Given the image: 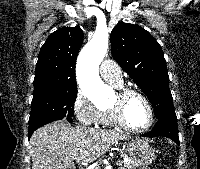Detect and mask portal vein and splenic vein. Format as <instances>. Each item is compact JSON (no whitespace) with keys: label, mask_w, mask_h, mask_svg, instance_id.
<instances>
[{"label":"portal vein and splenic vein","mask_w":200,"mask_h":169,"mask_svg":"<svg viewBox=\"0 0 200 169\" xmlns=\"http://www.w3.org/2000/svg\"><path fill=\"white\" fill-rule=\"evenodd\" d=\"M122 163L121 162H117V165H121Z\"/></svg>","instance_id":"portal-vein-and-splenic-vein-1"}]
</instances>
